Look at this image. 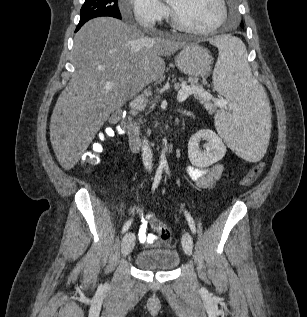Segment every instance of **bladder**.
Returning <instances> with one entry per match:
<instances>
[{
    "instance_id": "obj_1",
    "label": "bladder",
    "mask_w": 307,
    "mask_h": 317,
    "mask_svg": "<svg viewBox=\"0 0 307 317\" xmlns=\"http://www.w3.org/2000/svg\"><path fill=\"white\" fill-rule=\"evenodd\" d=\"M180 263L179 253L174 249H147L135 257L138 269L155 272H168Z\"/></svg>"
}]
</instances>
